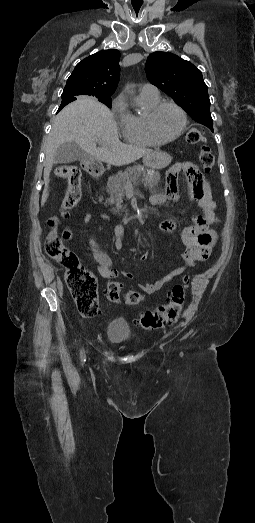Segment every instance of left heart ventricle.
I'll return each mask as SVG.
<instances>
[{
	"instance_id": "obj_1",
	"label": "left heart ventricle",
	"mask_w": 255,
	"mask_h": 523,
	"mask_svg": "<svg viewBox=\"0 0 255 523\" xmlns=\"http://www.w3.org/2000/svg\"><path fill=\"white\" fill-rule=\"evenodd\" d=\"M181 124V116L172 106L162 107L153 120L154 130L161 138L174 136L179 131Z\"/></svg>"
}]
</instances>
